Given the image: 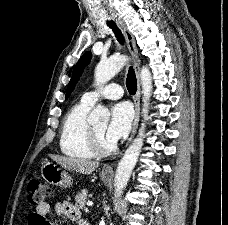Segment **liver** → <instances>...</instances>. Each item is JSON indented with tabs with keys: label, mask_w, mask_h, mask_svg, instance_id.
Returning a JSON list of instances; mask_svg holds the SVG:
<instances>
[{
	"label": "liver",
	"mask_w": 228,
	"mask_h": 225,
	"mask_svg": "<svg viewBox=\"0 0 228 225\" xmlns=\"http://www.w3.org/2000/svg\"><path fill=\"white\" fill-rule=\"evenodd\" d=\"M57 165H61L67 171H78L81 175L93 173L99 163L97 161H84V159H73V157H59V155H49Z\"/></svg>",
	"instance_id": "obj_1"
}]
</instances>
